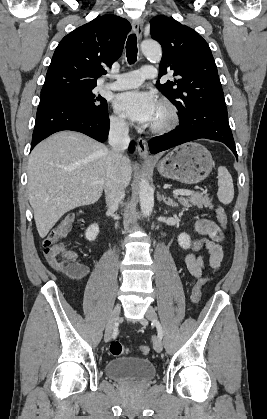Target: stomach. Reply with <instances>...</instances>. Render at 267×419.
I'll return each mask as SVG.
<instances>
[{
    "label": "stomach",
    "mask_w": 267,
    "mask_h": 419,
    "mask_svg": "<svg viewBox=\"0 0 267 419\" xmlns=\"http://www.w3.org/2000/svg\"><path fill=\"white\" fill-rule=\"evenodd\" d=\"M211 153L203 145L189 142L174 148L157 164L159 173L184 184L204 180L213 168Z\"/></svg>",
    "instance_id": "obj_1"
}]
</instances>
